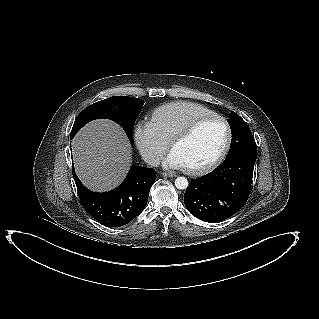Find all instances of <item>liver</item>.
I'll list each match as a JSON object with an SVG mask.
<instances>
[{
    "instance_id": "1",
    "label": "liver",
    "mask_w": 319,
    "mask_h": 319,
    "mask_svg": "<svg viewBox=\"0 0 319 319\" xmlns=\"http://www.w3.org/2000/svg\"><path fill=\"white\" fill-rule=\"evenodd\" d=\"M74 167L90 190L105 192L119 185L132 162V148L123 129L99 119L85 125L72 140Z\"/></svg>"
}]
</instances>
